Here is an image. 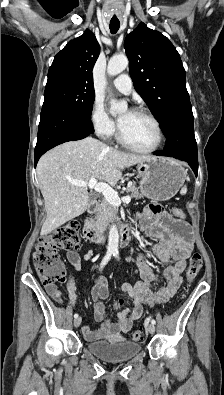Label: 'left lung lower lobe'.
<instances>
[{
  "label": "left lung lower lobe",
  "mask_w": 224,
  "mask_h": 395,
  "mask_svg": "<svg viewBox=\"0 0 224 395\" xmlns=\"http://www.w3.org/2000/svg\"><path fill=\"white\" fill-rule=\"evenodd\" d=\"M194 117L192 110L175 117L172 127L164 133L167 137L166 147L155 154L174 157L188 162L195 175L198 174L197 144L194 136Z\"/></svg>",
  "instance_id": "1"
}]
</instances>
